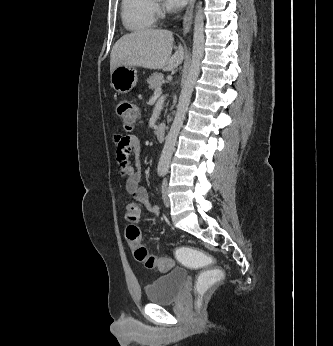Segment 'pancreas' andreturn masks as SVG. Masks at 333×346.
Masks as SVG:
<instances>
[{
    "instance_id": "1",
    "label": "pancreas",
    "mask_w": 333,
    "mask_h": 346,
    "mask_svg": "<svg viewBox=\"0 0 333 346\" xmlns=\"http://www.w3.org/2000/svg\"><path fill=\"white\" fill-rule=\"evenodd\" d=\"M147 83L150 89H157L164 83V76L162 73L155 72L151 76H149V78L147 79Z\"/></svg>"
}]
</instances>
